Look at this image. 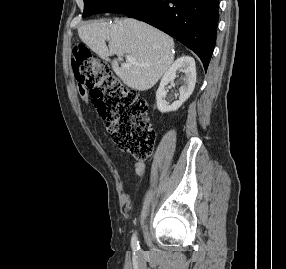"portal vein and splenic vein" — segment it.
<instances>
[{"label": "portal vein and splenic vein", "instance_id": "18ae733b", "mask_svg": "<svg viewBox=\"0 0 286 269\" xmlns=\"http://www.w3.org/2000/svg\"><path fill=\"white\" fill-rule=\"evenodd\" d=\"M126 61L128 62V63H137L136 62V59L133 57V56H131V55H127L126 56Z\"/></svg>", "mask_w": 286, "mask_h": 269}]
</instances>
